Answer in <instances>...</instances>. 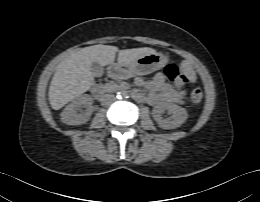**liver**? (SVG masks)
I'll list each match as a JSON object with an SVG mask.
<instances>
[{
	"label": "liver",
	"instance_id": "6515ba94",
	"mask_svg": "<svg viewBox=\"0 0 260 202\" xmlns=\"http://www.w3.org/2000/svg\"><path fill=\"white\" fill-rule=\"evenodd\" d=\"M118 52V63L128 64L138 58L156 53L153 48L143 47L118 50L116 46L93 45L82 48L64 59L58 66L49 88V103L54 110L88 91L94 82L91 64H112Z\"/></svg>",
	"mask_w": 260,
	"mask_h": 202
}]
</instances>
